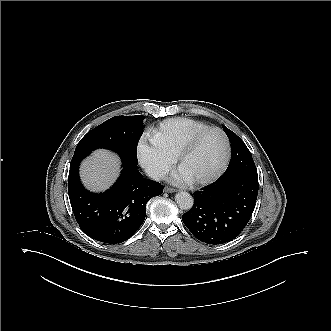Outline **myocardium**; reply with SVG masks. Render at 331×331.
I'll return each instance as SVG.
<instances>
[{
	"label": "myocardium",
	"instance_id": "1",
	"mask_svg": "<svg viewBox=\"0 0 331 331\" xmlns=\"http://www.w3.org/2000/svg\"><path fill=\"white\" fill-rule=\"evenodd\" d=\"M209 133H218L222 139H223V143H224V157H223V161L220 165V167L218 168V170L213 173L211 176L207 177V178H199V179H194L192 180V184L194 185H205V184H209L212 183L214 181H216L219 177L222 176V174L225 172L228 163H229V159H230V144H229V140L228 137L226 136V134L224 133L223 130H221L220 128H208L205 129L199 133H197L196 135H194L193 137H191L180 149L178 157H177V166L180 169L181 168V164L182 161L185 157V155L195 146V144L205 135L209 134Z\"/></svg>",
	"mask_w": 331,
	"mask_h": 331
}]
</instances>
